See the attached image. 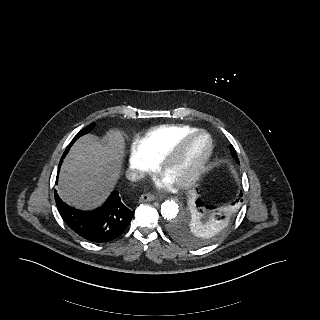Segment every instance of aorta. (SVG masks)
<instances>
[{
    "label": "aorta",
    "instance_id": "aorta-1",
    "mask_svg": "<svg viewBox=\"0 0 320 320\" xmlns=\"http://www.w3.org/2000/svg\"><path fill=\"white\" fill-rule=\"evenodd\" d=\"M179 212L178 204L174 200H166L161 205V214L164 219L172 220L177 217ZM190 212L186 213V219H189Z\"/></svg>",
    "mask_w": 320,
    "mask_h": 320
}]
</instances>
